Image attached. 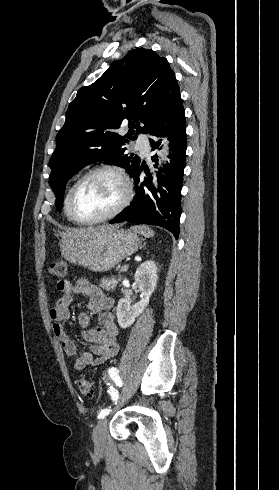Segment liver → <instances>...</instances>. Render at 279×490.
Instances as JSON below:
<instances>
[{
  "label": "liver",
  "instance_id": "1",
  "mask_svg": "<svg viewBox=\"0 0 279 490\" xmlns=\"http://www.w3.org/2000/svg\"><path fill=\"white\" fill-rule=\"evenodd\" d=\"M119 226H99V228H79V230H68L64 232L63 236H71L75 240L79 238H84V236H91V234H106V232H111V230H116Z\"/></svg>",
  "mask_w": 279,
  "mask_h": 490
}]
</instances>
